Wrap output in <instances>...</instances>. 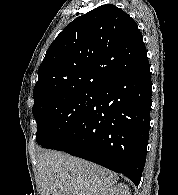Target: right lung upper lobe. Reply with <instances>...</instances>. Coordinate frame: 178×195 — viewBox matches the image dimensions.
Here are the masks:
<instances>
[{
    "label": "right lung upper lobe",
    "mask_w": 178,
    "mask_h": 195,
    "mask_svg": "<svg viewBox=\"0 0 178 195\" xmlns=\"http://www.w3.org/2000/svg\"><path fill=\"white\" fill-rule=\"evenodd\" d=\"M146 63L136 22L115 5L99 6L69 23L49 46L34 87V107L59 95L97 91Z\"/></svg>",
    "instance_id": "obj_1"
}]
</instances>
